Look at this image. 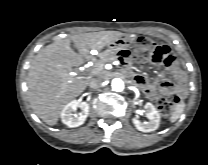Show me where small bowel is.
Segmentation results:
<instances>
[{
    "mask_svg": "<svg viewBox=\"0 0 208 165\" xmlns=\"http://www.w3.org/2000/svg\"><path fill=\"white\" fill-rule=\"evenodd\" d=\"M124 73L131 75L130 71L125 68ZM134 81L140 87L143 88L144 92L148 97H153L156 91L162 96H171L178 89V81L183 80V74L178 69H172L171 73H162L156 80L155 84L148 82L146 77L142 74H133Z\"/></svg>",
    "mask_w": 208,
    "mask_h": 165,
    "instance_id": "c3829d8e",
    "label": "small bowel"
}]
</instances>
